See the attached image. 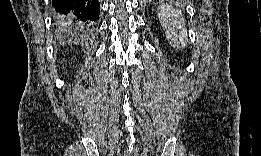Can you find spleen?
Here are the masks:
<instances>
[{
    "mask_svg": "<svg viewBox=\"0 0 261 156\" xmlns=\"http://www.w3.org/2000/svg\"><path fill=\"white\" fill-rule=\"evenodd\" d=\"M157 16L170 45L174 48H184L188 43V35L181 11L174 9L172 5L162 4L157 9Z\"/></svg>",
    "mask_w": 261,
    "mask_h": 156,
    "instance_id": "1",
    "label": "spleen"
}]
</instances>
